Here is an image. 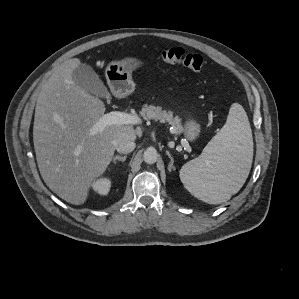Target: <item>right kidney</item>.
Returning a JSON list of instances; mask_svg holds the SVG:
<instances>
[{
  "mask_svg": "<svg viewBox=\"0 0 299 299\" xmlns=\"http://www.w3.org/2000/svg\"><path fill=\"white\" fill-rule=\"evenodd\" d=\"M111 187V181L107 178H102L93 184V188L100 195H107Z\"/></svg>",
  "mask_w": 299,
  "mask_h": 299,
  "instance_id": "ca27d5eb",
  "label": "right kidney"
}]
</instances>
